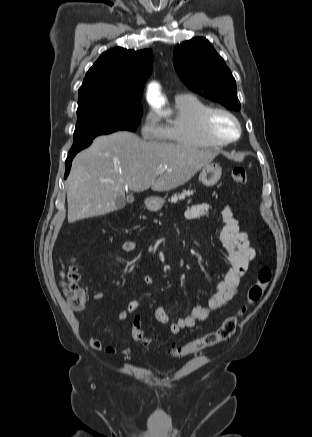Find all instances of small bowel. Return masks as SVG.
Listing matches in <instances>:
<instances>
[{"instance_id": "1", "label": "small bowel", "mask_w": 312, "mask_h": 437, "mask_svg": "<svg viewBox=\"0 0 312 437\" xmlns=\"http://www.w3.org/2000/svg\"><path fill=\"white\" fill-rule=\"evenodd\" d=\"M208 211L209 205L207 203H200L191 206L187 210L186 215L189 219H197L206 215ZM221 215L223 228L219 238L227 253L230 268L225 273L223 280L218 283L214 294L206 306L196 305L192 308L190 314L171 323L170 331L174 335L185 328L194 327L197 321L207 320L212 311L224 308L237 294L242 277L248 271L250 262L254 260L257 255L255 248L251 244L248 233L240 229V223L232 207L230 205L224 206ZM136 247V243L133 241H125L122 246L125 252H132ZM153 283L154 280L150 275H145L142 278V284L144 285L150 286ZM140 310V302L131 300L120 310L118 317L120 320L126 321L129 313L139 312ZM155 315L158 321L163 324H167L170 321L168 314L161 305L155 306ZM89 344L94 349L108 354L121 353L127 355L130 352L128 347L117 348L115 346L106 345L96 338H90Z\"/></svg>"}]
</instances>
